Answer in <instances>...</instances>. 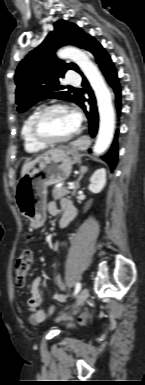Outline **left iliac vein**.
Returning a JSON list of instances; mask_svg holds the SVG:
<instances>
[{
    "instance_id": "left-iliac-vein-1",
    "label": "left iliac vein",
    "mask_w": 145,
    "mask_h": 385,
    "mask_svg": "<svg viewBox=\"0 0 145 385\" xmlns=\"http://www.w3.org/2000/svg\"><path fill=\"white\" fill-rule=\"evenodd\" d=\"M88 294V289L83 288L76 299L75 307H78L83 304L87 300Z\"/></svg>"
}]
</instances>
